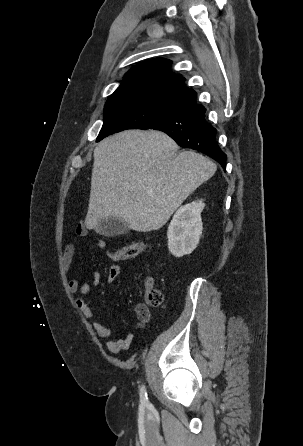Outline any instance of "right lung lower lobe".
<instances>
[{
    "label": "right lung lower lobe",
    "instance_id": "obj_1",
    "mask_svg": "<svg viewBox=\"0 0 303 446\" xmlns=\"http://www.w3.org/2000/svg\"><path fill=\"white\" fill-rule=\"evenodd\" d=\"M205 108L192 103L164 114L140 127L168 134L181 147L198 150L216 160L225 169L226 154L216 141V129L207 122Z\"/></svg>",
    "mask_w": 303,
    "mask_h": 446
}]
</instances>
